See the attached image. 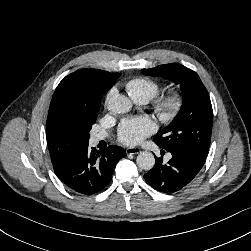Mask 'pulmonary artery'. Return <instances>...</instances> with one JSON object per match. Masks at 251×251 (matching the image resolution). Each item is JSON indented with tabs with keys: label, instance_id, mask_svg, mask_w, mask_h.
<instances>
[{
	"label": "pulmonary artery",
	"instance_id": "pulmonary-artery-1",
	"mask_svg": "<svg viewBox=\"0 0 251 251\" xmlns=\"http://www.w3.org/2000/svg\"><path fill=\"white\" fill-rule=\"evenodd\" d=\"M137 103H139V104H145V103H147L145 100H135ZM92 140H93V142L94 143H98V142H100L101 140H104V136L103 135H101V134H94L93 136H92Z\"/></svg>",
	"mask_w": 251,
	"mask_h": 251
}]
</instances>
